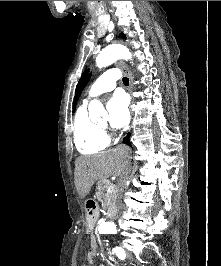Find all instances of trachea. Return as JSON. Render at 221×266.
Listing matches in <instances>:
<instances>
[{"label": "trachea", "mask_w": 221, "mask_h": 266, "mask_svg": "<svg viewBox=\"0 0 221 266\" xmlns=\"http://www.w3.org/2000/svg\"><path fill=\"white\" fill-rule=\"evenodd\" d=\"M123 83L128 86L129 85V79L127 77H124Z\"/></svg>", "instance_id": "trachea-1"}]
</instances>
